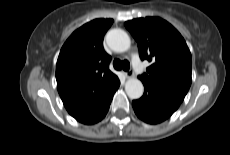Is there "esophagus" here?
I'll use <instances>...</instances> for the list:
<instances>
[{"instance_id":"obj_1","label":"esophagus","mask_w":230,"mask_h":155,"mask_svg":"<svg viewBox=\"0 0 230 155\" xmlns=\"http://www.w3.org/2000/svg\"><path fill=\"white\" fill-rule=\"evenodd\" d=\"M124 74H125L126 78H132V77H134L133 70H129L128 72H125Z\"/></svg>"}]
</instances>
